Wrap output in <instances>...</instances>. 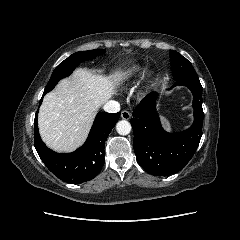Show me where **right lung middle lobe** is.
Masks as SVG:
<instances>
[{
    "mask_svg": "<svg viewBox=\"0 0 240 240\" xmlns=\"http://www.w3.org/2000/svg\"><path fill=\"white\" fill-rule=\"evenodd\" d=\"M104 52V49H94L90 51L76 52L69 56L53 71L51 78L44 90V93L51 91L60 79L69 76L75 67H77L81 62L93 59L97 55H100Z\"/></svg>",
    "mask_w": 240,
    "mask_h": 240,
    "instance_id": "dd1d6c3e",
    "label": "right lung middle lobe"
}]
</instances>
